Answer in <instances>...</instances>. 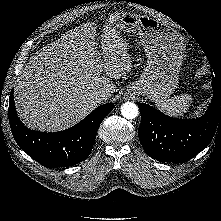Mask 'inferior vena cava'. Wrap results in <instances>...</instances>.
I'll use <instances>...</instances> for the list:
<instances>
[{
  "label": "inferior vena cava",
  "instance_id": "602c4592",
  "mask_svg": "<svg viewBox=\"0 0 221 221\" xmlns=\"http://www.w3.org/2000/svg\"><path fill=\"white\" fill-rule=\"evenodd\" d=\"M92 98L96 101V102H101L103 100H106L108 98V94L104 91V90H100V91H95L92 93Z\"/></svg>",
  "mask_w": 221,
  "mask_h": 221
}]
</instances>
